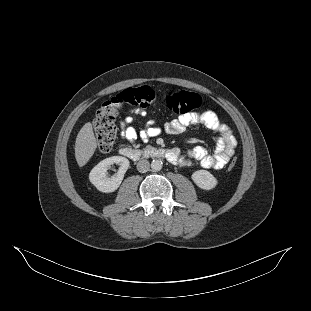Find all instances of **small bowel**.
Returning a JSON list of instances; mask_svg holds the SVG:
<instances>
[{
  "instance_id": "obj_1",
  "label": "small bowel",
  "mask_w": 311,
  "mask_h": 311,
  "mask_svg": "<svg viewBox=\"0 0 311 311\" xmlns=\"http://www.w3.org/2000/svg\"><path fill=\"white\" fill-rule=\"evenodd\" d=\"M135 113L143 117L146 116V113L141 110H137ZM133 123V112L128 113L120 121V134L123 140L132 142L138 136L143 140H148L159 136L162 132L179 134L190 125H203L219 135L213 153H209L203 146H195L187 154H183L179 149H172V163L181 167L191 168L200 165L206 169H222L234 154L237 145L231 128L221 122L213 111L183 114L167 122L163 127L158 126L155 120H148L139 132L133 126Z\"/></svg>"
}]
</instances>
